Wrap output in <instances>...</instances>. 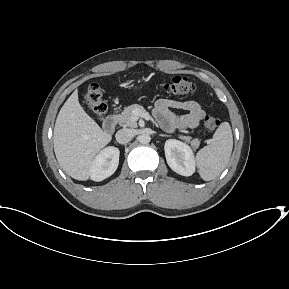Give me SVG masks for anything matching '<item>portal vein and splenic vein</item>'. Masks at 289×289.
I'll list each match as a JSON object with an SVG mask.
<instances>
[{"label": "portal vein and splenic vein", "mask_w": 289, "mask_h": 289, "mask_svg": "<svg viewBox=\"0 0 289 289\" xmlns=\"http://www.w3.org/2000/svg\"><path fill=\"white\" fill-rule=\"evenodd\" d=\"M141 116V112L139 111H134L133 112V119L138 120V118Z\"/></svg>", "instance_id": "1"}]
</instances>
